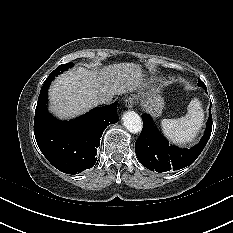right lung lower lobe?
<instances>
[{
    "instance_id": "obj_1",
    "label": "right lung lower lobe",
    "mask_w": 233,
    "mask_h": 233,
    "mask_svg": "<svg viewBox=\"0 0 233 233\" xmlns=\"http://www.w3.org/2000/svg\"><path fill=\"white\" fill-rule=\"evenodd\" d=\"M51 73L41 88L35 110L34 134L39 149L59 171L77 174L94 166L100 137L109 124L118 122L117 102L97 107L70 122L55 119L47 111Z\"/></svg>"
}]
</instances>
